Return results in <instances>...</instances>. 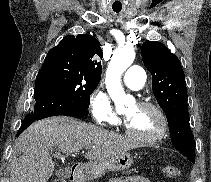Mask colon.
Segmentation results:
<instances>
[{
  "label": "colon",
  "instance_id": "5ec220e1",
  "mask_svg": "<svg viewBox=\"0 0 211 182\" xmlns=\"http://www.w3.org/2000/svg\"><path fill=\"white\" fill-rule=\"evenodd\" d=\"M162 172L165 176L170 177V178L177 177L179 174L178 169L172 165L163 167ZM53 182H64V181L60 179H56Z\"/></svg>",
  "mask_w": 211,
  "mask_h": 182
}]
</instances>
